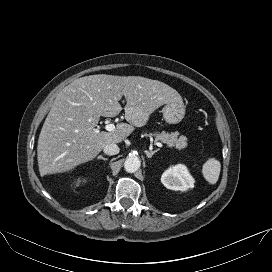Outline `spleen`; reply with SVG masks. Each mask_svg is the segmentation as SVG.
Instances as JSON below:
<instances>
[{
    "instance_id": "3e777b00",
    "label": "spleen",
    "mask_w": 272,
    "mask_h": 272,
    "mask_svg": "<svg viewBox=\"0 0 272 272\" xmlns=\"http://www.w3.org/2000/svg\"><path fill=\"white\" fill-rule=\"evenodd\" d=\"M220 170V162L215 158H209L203 165L202 173L207 182L215 184L218 181Z\"/></svg>"
}]
</instances>
